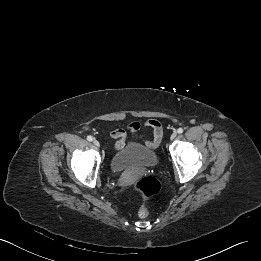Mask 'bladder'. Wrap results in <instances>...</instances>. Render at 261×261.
<instances>
[{
	"label": "bladder",
	"instance_id": "31cf9c89",
	"mask_svg": "<svg viewBox=\"0 0 261 261\" xmlns=\"http://www.w3.org/2000/svg\"><path fill=\"white\" fill-rule=\"evenodd\" d=\"M157 162V154L146 144L132 142L117 150L110 160V168L114 172L130 169H145Z\"/></svg>",
	"mask_w": 261,
	"mask_h": 261
}]
</instances>
